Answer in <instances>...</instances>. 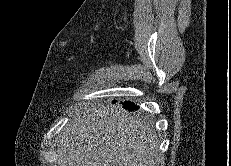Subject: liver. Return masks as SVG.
<instances>
[{
  "mask_svg": "<svg viewBox=\"0 0 231 166\" xmlns=\"http://www.w3.org/2000/svg\"><path fill=\"white\" fill-rule=\"evenodd\" d=\"M152 129L116 106L91 105L63 128L59 166H155Z\"/></svg>",
  "mask_w": 231,
  "mask_h": 166,
  "instance_id": "obj_1",
  "label": "liver"
}]
</instances>
